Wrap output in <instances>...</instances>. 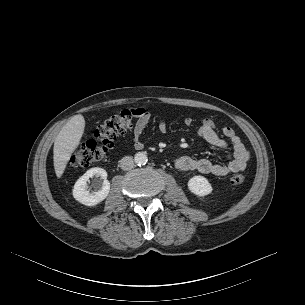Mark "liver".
<instances>
[{
  "label": "liver",
  "instance_id": "liver-1",
  "mask_svg": "<svg viewBox=\"0 0 305 305\" xmlns=\"http://www.w3.org/2000/svg\"><path fill=\"white\" fill-rule=\"evenodd\" d=\"M85 129V119L81 114L75 115L58 133L53 148L54 169L57 178L63 175L67 163L78 147Z\"/></svg>",
  "mask_w": 305,
  "mask_h": 305
}]
</instances>
